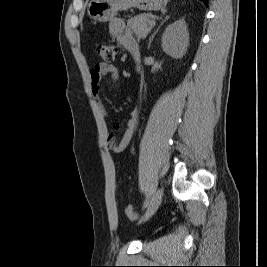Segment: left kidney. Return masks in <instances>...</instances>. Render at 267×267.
<instances>
[{"label":"left kidney","mask_w":267,"mask_h":267,"mask_svg":"<svg viewBox=\"0 0 267 267\" xmlns=\"http://www.w3.org/2000/svg\"><path fill=\"white\" fill-rule=\"evenodd\" d=\"M162 49L172 58L178 59L186 54L189 46V32L184 19L167 26L162 35Z\"/></svg>","instance_id":"1"}]
</instances>
